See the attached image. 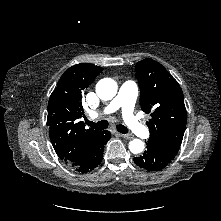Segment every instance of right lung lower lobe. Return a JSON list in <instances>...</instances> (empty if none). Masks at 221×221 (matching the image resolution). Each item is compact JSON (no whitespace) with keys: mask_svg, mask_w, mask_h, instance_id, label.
I'll list each match as a JSON object with an SVG mask.
<instances>
[{"mask_svg":"<svg viewBox=\"0 0 221 221\" xmlns=\"http://www.w3.org/2000/svg\"><path fill=\"white\" fill-rule=\"evenodd\" d=\"M111 138V133L107 130L101 131L85 158L76 163H69L76 171L87 173L96 168L103 159L104 146Z\"/></svg>","mask_w":221,"mask_h":221,"instance_id":"98d812e1","label":"right lung lower lobe"}]
</instances>
